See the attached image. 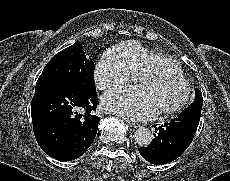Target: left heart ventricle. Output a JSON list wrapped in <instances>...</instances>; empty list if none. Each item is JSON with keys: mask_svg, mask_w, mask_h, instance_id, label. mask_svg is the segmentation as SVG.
Returning <instances> with one entry per match:
<instances>
[{"mask_svg": "<svg viewBox=\"0 0 230 181\" xmlns=\"http://www.w3.org/2000/svg\"><path fill=\"white\" fill-rule=\"evenodd\" d=\"M147 103L155 110L175 104L183 94L180 84L169 81L153 80L141 88Z\"/></svg>", "mask_w": 230, "mask_h": 181, "instance_id": "left-heart-ventricle-1", "label": "left heart ventricle"}]
</instances>
